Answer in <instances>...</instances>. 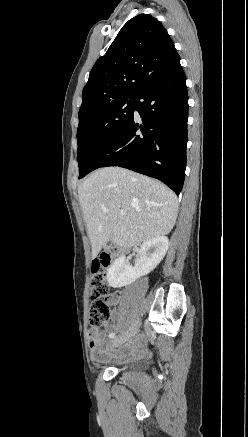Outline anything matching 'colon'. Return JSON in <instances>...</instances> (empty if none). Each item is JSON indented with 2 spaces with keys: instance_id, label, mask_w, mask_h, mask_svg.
<instances>
[{
  "instance_id": "5ec220e1",
  "label": "colon",
  "mask_w": 248,
  "mask_h": 437,
  "mask_svg": "<svg viewBox=\"0 0 248 437\" xmlns=\"http://www.w3.org/2000/svg\"><path fill=\"white\" fill-rule=\"evenodd\" d=\"M108 265L105 254L91 263L90 324L94 327L105 325L110 320V307L107 299L109 288L105 271Z\"/></svg>"
}]
</instances>
